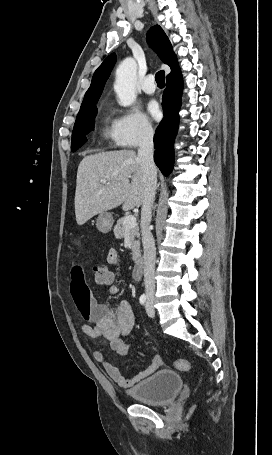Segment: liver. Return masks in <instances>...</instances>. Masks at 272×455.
<instances>
[{
	"label": "liver",
	"instance_id": "obj_1",
	"mask_svg": "<svg viewBox=\"0 0 272 455\" xmlns=\"http://www.w3.org/2000/svg\"><path fill=\"white\" fill-rule=\"evenodd\" d=\"M131 179V181H130ZM101 180H106L103 184ZM145 182L140 160L133 150L96 153L78 166L75 215L78 225L123 204V210L140 207Z\"/></svg>",
	"mask_w": 272,
	"mask_h": 455
}]
</instances>
